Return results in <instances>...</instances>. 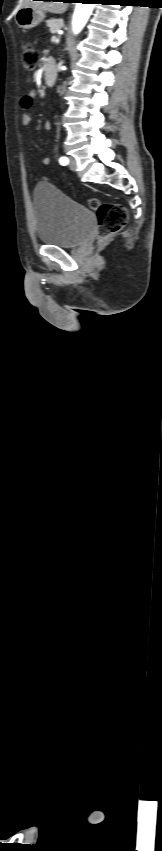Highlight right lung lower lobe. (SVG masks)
I'll list each match as a JSON object with an SVG mask.
<instances>
[{"label": "right lung lower lobe", "mask_w": 162, "mask_h": 851, "mask_svg": "<svg viewBox=\"0 0 162 851\" xmlns=\"http://www.w3.org/2000/svg\"><path fill=\"white\" fill-rule=\"evenodd\" d=\"M44 1H54V0H44ZM71 0H64V2H70Z\"/></svg>", "instance_id": "1"}]
</instances>
